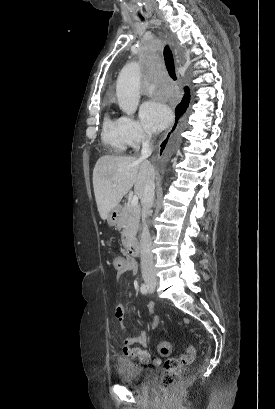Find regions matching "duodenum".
<instances>
[{
	"label": "duodenum",
	"mask_w": 275,
	"mask_h": 409,
	"mask_svg": "<svg viewBox=\"0 0 275 409\" xmlns=\"http://www.w3.org/2000/svg\"><path fill=\"white\" fill-rule=\"evenodd\" d=\"M127 252L132 257L139 256L140 249H139L138 243L134 242V241L129 242L128 245H127Z\"/></svg>",
	"instance_id": "1"
}]
</instances>
